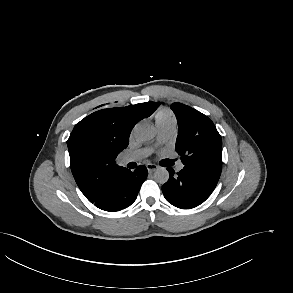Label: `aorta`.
<instances>
[{
  "mask_svg": "<svg viewBox=\"0 0 293 293\" xmlns=\"http://www.w3.org/2000/svg\"><path fill=\"white\" fill-rule=\"evenodd\" d=\"M134 136L139 142H148L155 137V130L147 124L138 125L134 130ZM154 179L160 184H164L169 179V173L166 168H158L154 172Z\"/></svg>",
  "mask_w": 293,
  "mask_h": 293,
  "instance_id": "1",
  "label": "aorta"
}]
</instances>
